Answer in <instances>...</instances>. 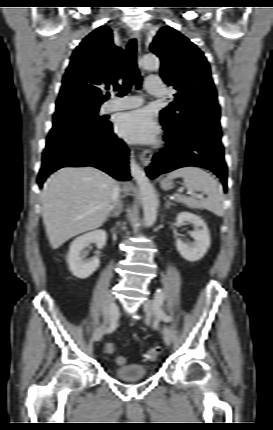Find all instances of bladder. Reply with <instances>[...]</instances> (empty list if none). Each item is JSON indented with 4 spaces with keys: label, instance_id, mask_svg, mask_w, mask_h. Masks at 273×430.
I'll list each match as a JSON object with an SVG mask.
<instances>
[{
    "label": "bladder",
    "instance_id": "1",
    "mask_svg": "<svg viewBox=\"0 0 273 430\" xmlns=\"http://www.w3.org/2000/svg\"><path fill=\"white\" fill-rule=\"evenodd\" d=\"M113 375L121 381L133 382L146 378L148 371L144 365L132 363L117 367Z\"/></svg>",
    "mask_w": 273,
    "mask_h": 430
}]
</instances>
